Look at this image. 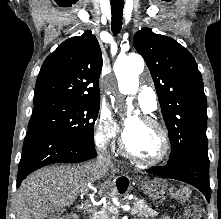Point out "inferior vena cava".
<instances>
[{"label": "inferior vena cava", "mask_w": 221, "mask_h": 219, "mask_svg": "<svg viewBox=\"0 0 221 219\" xmlns=\"http://www.w3.org/2000/svg\"><path fill=\"white\" fill-rule=\"evenodd\" d=\"M96 163L103 169L112 165L110 155L108 154L107 150L103 149L101 153L98 154Z\"/></svg>", "instance_id": "1"}]
</instances>
